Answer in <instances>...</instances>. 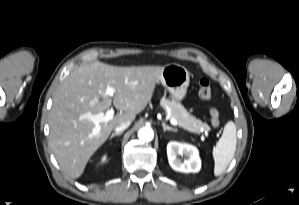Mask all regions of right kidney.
Instances as JSON below:
<instances>
[{"label":"right kidney","instance_id":"right-kidney-1","mask_svg":"<svg viewBox=\"0 0 299 205\" xmlns=\"http://www.w3.org/2000/svg\"><path fill=\"white\" fill-rule=\"evenodd\" d=\"M105 159H106V157L104 156L103 159H102V161H105Z\"/></svg>","mask_w":299,"mask_h":205}]
</instances>
